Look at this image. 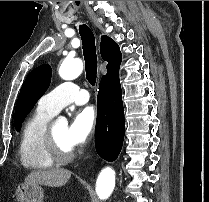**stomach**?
Wrapping results in <instances>:
<instances>
[{
  "label": "stomach",
  "mask_w": 209,
  "mask_h": 202,
  "mask_svg": "<svg viewBox=\"0 0 209 202\" xmlns=\"http://www.w3.org/2000/svg\"><path fill=\"white\" fill-rule=\"evenodd\" d=\"M17 202H43L44 192L39 184L22 183L15 191Z\"/></svg>",
  "instance_id": "obj_1"
}]
</instances>
